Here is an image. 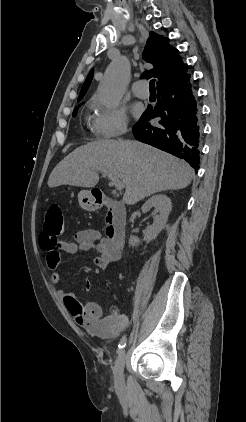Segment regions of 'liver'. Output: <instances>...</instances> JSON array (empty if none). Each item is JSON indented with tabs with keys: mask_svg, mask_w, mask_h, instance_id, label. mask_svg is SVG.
I'll list each match as a JSON object with an SVG mask.
<instances>
[{
	"mask_svg": "<svg viewBox=\"0 0 246 422\" xmlns=\"http://www.w3.org/2000/svg\"><path fill=\"white\" fill-rule=\"evenodd\" d=\"M107 170L125 186L123 202L133 205L166 190L186 188L194 171L185 161L137 141L100 140L78 147L51 172L48 186L92 188Z\"/></svg>",
	"mask_w": 246,
	"mask_h": 422,
	"instance_id": "6515ba94",
	"label": "liver"
}]
</instances>
